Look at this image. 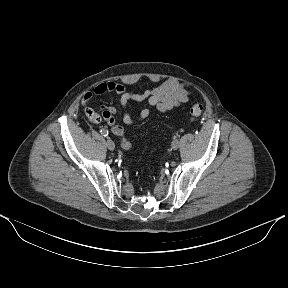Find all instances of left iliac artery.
Wrapping results in <instances>:
<instances>
[{
    "instance_id": "1",
    "label": "left iliac artery",
    "mask_w": 288,
    "mask_h": 288,
    "mask_svg": "<svg viewBox=\"0 0 288 288\" xmlns=\"http://www.w3.org/2000/svg\"><path fill=\"white\" fill-rule=\"evenodd\" d=\"M180 138V135L178 134V133H175V134H173L172 136H171V139L173 140V141H176V140H178Z\"/></svg>"
}]
</instances>
